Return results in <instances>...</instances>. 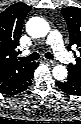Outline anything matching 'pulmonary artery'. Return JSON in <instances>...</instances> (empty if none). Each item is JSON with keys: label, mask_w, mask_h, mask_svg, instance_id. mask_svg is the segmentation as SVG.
I'll use <instances>...</instances> for the list:
<instances>
[{"label": "pulmonary artery", "mask_w": 81, "mask_h": 124, "mask_svg": "<svg viewBox=\"0 0 81 124\" xmlns=\"http://www.w3.org/2000/svg\"><path fill=\"white\" fill-rule=\"evenodd\" d=\"M47 43H49L56 55V57L63 63H70L72 61V57L70 54L65 50L61 35L57 30H53L50 32Z\"/></svg>", "instance_id": "pulmonary-artery-1"}]
</instances>
